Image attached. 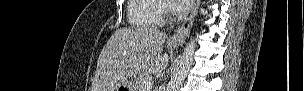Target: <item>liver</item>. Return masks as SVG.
<instances>
[{"instance_id": "liver-1", "label": "liver", "mask_w": 304, "mask_h": 91, "mask_svg": "<svg viewBox=\"0 0 304 91\" xmlns=\"http://www.w3.org/2000/svg\"><path fill=\"white\" fill-rule=\"evenodd\" d=\"M165 32L153 28H120L103 47L94 74L92 91H117L138 75L166 69L169 57L162 54Z\"/></svg>"}]
</instances>
